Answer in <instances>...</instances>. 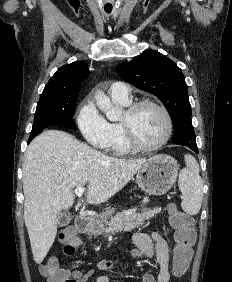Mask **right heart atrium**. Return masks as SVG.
Here are the masks:
<instances>
[{
  "instance_id": "d8ad5b80",
  "label": "right heart atrium",
  "mask_w": 232,
  "mask_h": 282,
  "mask_svg": "<svg viewBox=\"0 0 232 282\" xmlns=\"http://www.w3.org/2000/svg\"><path fill=\"white\" fill-rule=\"evenodd\" d=\"M76 123L83 138L91 146L99 149L108 148L111 136L109 122L91 100L85 99L80 104Z\"/></svg>"
}]
</instances>
